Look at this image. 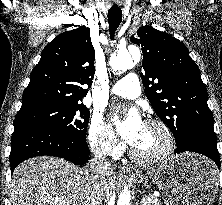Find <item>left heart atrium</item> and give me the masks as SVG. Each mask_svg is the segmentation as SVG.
I'll return each mask as SVG.
<instances>
[{
  "mask_svg": "<svg viewBox=\"0 0 222 205\" xmlns=\"http://www.w3.org/2000/svg\"><path fill=\"white\" fill-rule=\"evenodd\" d=\"M113 120L117 125L120 135L126 140V142L134 145L145 124L139 112L132 108L128 111L125 118L120 119L118 116H114Z\"/></svg>",
  "mask_w": 222,
  "mask_h": 205,
  "instance_id": "obj_1",
  "label": "left heart atrium"
}]
</instances>
